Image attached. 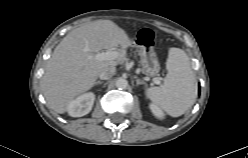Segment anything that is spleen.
<instances>
[{
  "label": "spleen",
  "mask_w": 248,
  "mask_h": 158,
  "mask_svg": "<svg viewBox=\"0 0 248 158\" xmlns=\"http://www.w3.org/2000/svg\"><path fill=\"white\" fill-rule=\"evenodd\" d=\"M166 68L168 73L164 84L148 88L146 96L170 116L179 117L194 104L196 79L189 58L182 49H169Z\"/></svg>",
  "instance_id": "1"
}]
</instances>
